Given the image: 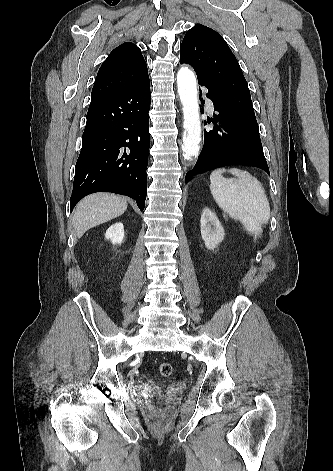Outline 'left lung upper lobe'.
<instances>
[{
	"mask_svg": "<svg viewBox=\"0 0 333 471\" xmlns=\"http://www.w3.org/2000/svg\"><path fill=\"white\" fill-rule=\"evenodd\" d=\"M180 62L190 64L197 77L219 91L233 112L258 127L247 82L221 35L207 26L196 24L182 41Z\"/></svg>",
	"mask_w": 333,
	"mask_h": 471,
	"instance_id": "1",
	"label": "left lung upper lobe"
}]
</instances>
